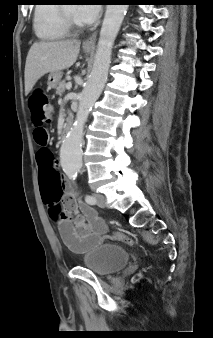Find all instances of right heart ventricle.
<instances>
[{"label": "right heart ventricle", "instance_id": "obj_1", "mask_svg": "<svg viewBox=\"0 0 213 338\" xmlns=\"http://www.w3.org/2000/svg\"><path fill=\"white\" fill-rule=\"evenodd\" d=\"M60 6L40 2L34 8V31L44 41H57L66 37L67 32L61 25Z\"/></svg>", "mask_w": 213, "mask_h": 338}]
</instances>
